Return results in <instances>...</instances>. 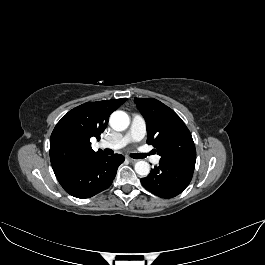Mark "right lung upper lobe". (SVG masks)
Masks as SVG:
<instances>
[{
  "instance_id": "obj_1",
  "label": "right lung upper lobe",
  "mask_w": 265,
  "mask_h": 265,
  "mask_svg": "<svg viewBox=\"0 0 265 265\" xmlns=\"http://www.w3.org/2000/svg\"><path fill=\"white\" fill-rule=\"evenodd\" d=\"M126 100L87 102L62 117L50 137V160L56 176L103 154L92 150L90 138L100 139L110 114Z\"/></svg>"
}]
</instances>
